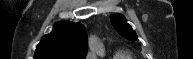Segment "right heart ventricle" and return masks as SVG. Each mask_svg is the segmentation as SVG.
<instances>
[{
  "label": "right heart ventricle",
  "mask_w": 193,
  "mask_h": 59,
  "mask_svg": "<svg viewBox=\"0 0 193 59\" xmlns=\"http://www.w3.org/2000/svg\"><path fill=\"white\" fill-rule=\"evenodd\" d=\"M112 59H134L132 55L125 51L117 52Z\"/></svg>",
  "instance_id": "e07e8e85"
}]
</instances>
